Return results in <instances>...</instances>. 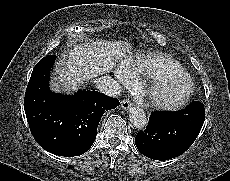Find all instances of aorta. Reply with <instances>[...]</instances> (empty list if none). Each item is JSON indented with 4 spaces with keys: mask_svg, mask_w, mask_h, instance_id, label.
<instances>
[{
    "mask_svg": "<svg viewBox=\"0 0 230 181\" xmlns=\"http://www.w3.org/2000/svg\"><path fill=\"white\" fill-rule=\"evenodd\" d=\"M129 120L131 124L140 130H143L148 125V118L142 108L139 106H132L129 109Z\"/></svg>",
    "mask_w": 230,
    "mask_h": 181,
    "instance_id": "1",
    "label": "aorta"
}]
</instances>
